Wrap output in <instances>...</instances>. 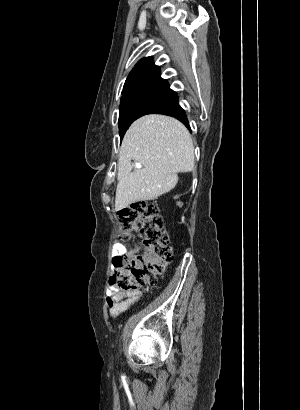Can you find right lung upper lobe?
Here are the masks:
<instances>
[{"label":"right lung upper lobe","mask_w":300,"mask_h":410,"mask_svg":"<svg viewBox=\"0 0 300 410\" xmlns=\"http://www.w3.org/2000/svg\"><path fill=\"white\" fill-rule=\"evenodd\" d=\"M167 82L160 76V69L153 63L151 57H145L140 60L132 71L129 73L124 88L137 84H154Z\"/></svg>","instance_id":"obj_1"}]
</instances>
